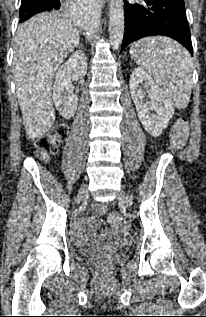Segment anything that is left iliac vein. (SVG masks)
Masks as SVG:
<instances>
[{
	"mask_svg": "<svg viewBox=\"0 0 206 317\" xmlns=\"http://www.w3.org/2000/svg\"><path fill=\"white\" fill-rule=\"evenodd\" d=\"M118 200L121 204H124L127 207H130L132 204L131 198L123 190L120 191L118 195Z\"/></svg>",
	"mask_w": 206,
	"mask_h": 317,
	"instance_id": "obj_1",
	"label": "left iliac vein"
}]
</instances>
